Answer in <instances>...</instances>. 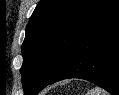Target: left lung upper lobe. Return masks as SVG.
Here are the masks:
<instances>
[{
	"instance_id": "1",
	"label": "left lung upper lobe",
	"mask_w": 119,
	"mask_h": 95,
	"mask_svg": "<svg viewBox=\"0 0 119 95\" xmlns=\"http://www.w3.org/2000/svg\"><path fill=\"white\" fill-rule=\"evenodd\" d=\"M119 0H41L26 28L21 67L24 95L49 82L80 38Z\"/></svg>"
}]
</instances>
